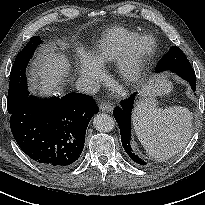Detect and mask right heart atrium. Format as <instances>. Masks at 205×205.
<instances>
[{"mask_svg":"<svg viewBox=\"0 0 205 205\" xmlns=\"http://www.w3.org/2000/svg\"><path fill=\"white\" fill-rule=\"evenodd\" d=\"M74 59L78 65V72L81 78L86 80L90 84H93L95 82V68L88 56L83 51L78 50L74 55Z\"/></svg>","mask_w":205,"mask_h":205,"instance_id":"1","label":"right heart atrium"}]
</instances>
